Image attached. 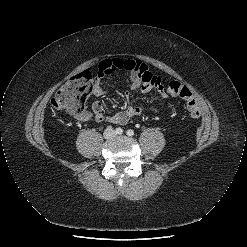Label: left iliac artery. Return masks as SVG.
Listing matches in <instances>:
<instances>
[{
  "label": "left iliac artery",
  "instance_id": "obj_1",
  "mask_svg": "<svg viewBox=\"0 0 247 247\" xmlns=\"http://www.w3.org/2000/svg\"><path fill=\"white\" fill-rule=\"evenodd\" d=\"M126 134H127L128 136H133V135H134V131L131 130V129H129V130H127Z\"/></svg>",
  "mask_w": 247,
  "mask_h": 247
}]
</instances>
